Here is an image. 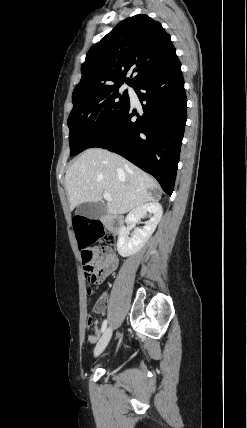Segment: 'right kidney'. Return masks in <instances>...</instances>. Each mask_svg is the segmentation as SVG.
Returning <instances> with one entry per match:
<instances>
[{
	"label": "right kidney",
	"mask_w": 247,
	"mask_h": 428,
	"mask_svg": "<svg viewBox=\"0 0 247 428\" xmlns=\"http://www.w3.org/2000/svg\"><path fill=\"white\" fill-rule=\"evenodd\" d=\"M149 215L150 219L145 223V226L136 228L128 237L126 227H122L117 241V250L122 257H128L136 254L148 241L160 222L163 209L158 202H149L133 209L126 217L127 225L136 223L140 218Z\"/></svg>",
	"instance_id": "right-kidney-1"
}]
</instances>
